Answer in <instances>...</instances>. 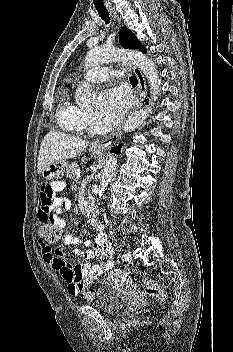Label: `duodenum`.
Listing matches in <instances>:
<instances>
[{
    "instance_id": "1",
    "label": "duodenum",
    "mask_w": 233,
    "mask_h": 352,
    "mask_svg": "<svg viewBox=\"0 0 233 352\" xmlns=\"http://www.w3.org/2000/svg\"><path fill=\"white\" fill-rule=\"evenodd\" d=\"M87 216L90 220H94L95 217H96V210H95V207L91 204L88 206L87 208Z\"/></svg>"
}]
</instances>
